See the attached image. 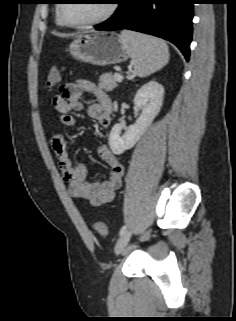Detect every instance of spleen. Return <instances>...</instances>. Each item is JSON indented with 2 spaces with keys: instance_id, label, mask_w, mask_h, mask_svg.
Here are the masks:
<instances>
[{
  "instance_id": "obj_1",
  "label": "spleen",
  "mask_w": 236,
  "mask_h": 321,
  "mask_svg": "<svg viewBox=\"0 0 236 321\" xmlns=\"http://www.w3.org/2000/svg\"><path fill=\"white\" fill-rule=\"evenodd\" d=\"M134 64L135 74L146 77L160 70L169 61L167 44L158 38L123 30L120 35Z\"/></svg>"
}]
</instances>
